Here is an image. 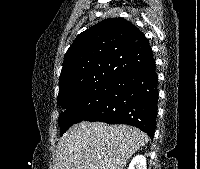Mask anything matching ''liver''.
Returning <instances> with one entry per match:
<instances>
[{"label":"liver","instance_id":"liver-1","mask_svg":"<svg viewBox=\"0 0 200 169\" xmlns=\"http://www.w3.org/2000/svg\"><path fill=\"white\" fill-rule=\"evenodd\" d=\"M147 142L148 136L136 127L81 122L60 138L55 169H124Z\"/></svg>","mask_w":200,"mask_h":169}]
</instances>
